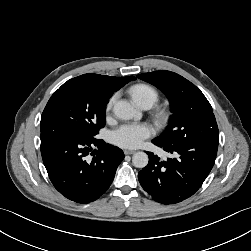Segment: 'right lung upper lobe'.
I'll return each instance as SVG.
<instances>
[{"mask_svg": "<svg viewBox=\"0 0 251 251\" xmlns=\"http://www.w3.org/2000/svg\"><path fill=\"white\" fill-rule=\"evenodd\" d=\"M78 78L99 84L111 96L114 92L118 91L126 83L135 79L134 76L117 78L113 76L109 77V76L93 74V73L84 74V75L78 76Z\"/></svg>", "mask_w": 251, "mask_h": 251, "instance_id": "right-lung-upper-lobe-1", "label": "right lung upper lobe"}]
</instances>
